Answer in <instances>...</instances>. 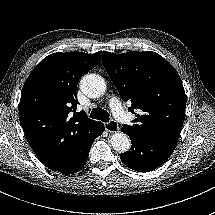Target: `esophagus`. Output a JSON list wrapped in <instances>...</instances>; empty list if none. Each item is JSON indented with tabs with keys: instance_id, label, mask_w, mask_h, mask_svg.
<instances>
[{
	"instance_id": "esophagus-1",
	"label": "esophagus",
	"mask_w": 215,
	"mask_h": 215,
	"mask_svg": "<svg viewBox=\"0 0 215 215\" xmlns=\"http://www.w3.org/2000/svg\"><path fill=\"white\" fill-rule=\"evenodd\" d=\"M104 127H105V130L107 132L114 133V132L119 131L118 122L116 120H114V119H111L108 122L104 123Z\"/></svg>"
}]
</instances>
